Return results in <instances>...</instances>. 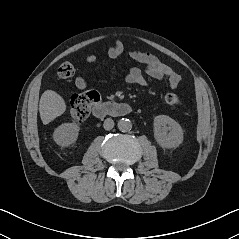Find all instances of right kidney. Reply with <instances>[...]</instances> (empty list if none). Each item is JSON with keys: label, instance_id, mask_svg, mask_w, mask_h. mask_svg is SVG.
<instances>
[{"label": "right kidney", "instance_id": "ca27d5eb", "mask_svg": "<svg viewBox=\"0 0 239 239\" xmlns=\"http://www.w3.org/2000/svg\"><path fill=\"white\" fill-rule=\"evenodd\" d=\"M79 126L76 123H64L57 127L54 131V141L62 146H69L78 138Z\"/></svg>", "mask_w": 239, "mask_h": 239}]
</instances>
